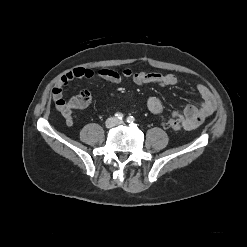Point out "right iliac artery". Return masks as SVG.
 <instances>
[{
    "mask_svg": "<svg viewBox=\"0 0 247 247\" xmlns=\"http://www.w3.org/2000/svg\"><path fill=\"white\" fill-rule=\"evenodd\" d=\"M115 117H116L117 119H119V120H122L123 117H124V115H123L122 113H116V114H115Z\"/></svg>",
    "mask_w": 247,
    "mask_h": 247,
    "instance_id": "right-iliac-artery-1",
    "label": "right iliac artery"
}]
</instances>
